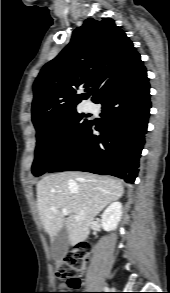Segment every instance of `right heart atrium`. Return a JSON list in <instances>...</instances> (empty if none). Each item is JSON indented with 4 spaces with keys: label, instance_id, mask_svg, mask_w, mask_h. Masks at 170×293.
I'll return each instance as SVG.
<instances>
[{
    "label": "right heart atrium",
    "instance_id": "obj_1",
    "mask_svg": "<svg viewBox=\"0 0 170 293\" xmlns=\"http://www.w3.org/2000/svg\"><path fill=\"white\" fill-rule=\"evenodd\" d=\"M59 137H60V138L62 137V133L59 134Z\"/></svg>",
    "mask_w": 170,
    "mask_h": 293
}]
</instances>
